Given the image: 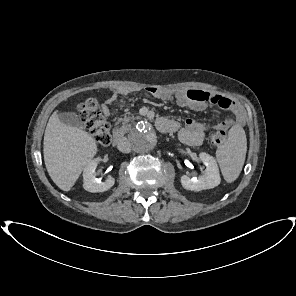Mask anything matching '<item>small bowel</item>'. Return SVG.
Wrapping results in <instances>:
<instances>
[{
    "label": "small bowel",
    "instance_id": "obj_1",
    "mask_svg": "<svg viewBox=\"0 0 296 296\" xmlns=\"http://www.w3.org/2000/svg\"><path fill=\"white\" fill-rule=\"evenodd\" d=\"M148 91L162 100L175 101L179 106L193 111H203L209 105H215L233 113V116L212 124L188 118L185 121L184 126L180 127L177 122L171 120L175 123V129L173 131H178L179 139L187 145H201L205 134L209 129H228L233 125L243 124L245 121V114L242 107L236 101L228 97L200 89L173 90L148 88ZM131 92L132 90L129 88H121L114 92L105 100L103 104V112L109 114V105L117 101L120 96H126Z\"/></svg>",
    "mask_w": 296,
    "mask_h": 296
}]
</instances>
